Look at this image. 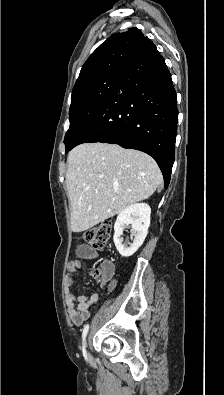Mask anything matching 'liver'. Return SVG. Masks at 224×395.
<instances>
[{
	"mask_svg": "<svg viewBox=\"0 0 224 395\" xmlns=\"http://www.w3.org/2000/svg\"><path fill=\"white\" fill-rule=\"evenodd\" d=\"M71 229L82 232L148 199L163 182L149 155L119 145L84 143L68 155Z\"/></svg>",
	"mask_w": 224,
	"mask_h": 395,
	"instance_id": "1",
	"label": "liver"
}]
</instances>
